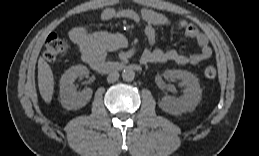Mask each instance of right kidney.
I'll return each mask as SVG.
<instances>
[{
	"label": "right kidney",
	"instance_id": "ca27d5eb",
	"mask_svg": "<svg viewBox=\"0 0 259 156\" xmlns=\"http://www.w3.org/2000/svg\"><path fill=\"white\" fill-rule=\"evenodd\" d=\"M89 70L86 66H72L62 75L60 79V102L67 110H75L84 107L92 97L90 88L84 89L82 92H77L74 86L75 80L79 76L87 77Z\"/></svg>",
	"mask_w": 259,
	"mask_h": 156
}]
</instances>
